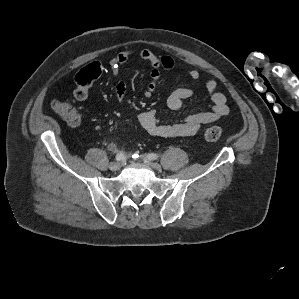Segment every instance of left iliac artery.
<instances>
[{
	"mask_svg": "<svg viewBox=\"0 0 299 299\" xmlns=\"http://www.w3.org/2000/svg\"><path fill=\"white\" fill-rule=\"evenodd\" d=\"M159 157L158 154H155V153H151V154H148L147 155V158L150 159V160H155Z\"/></svg>",
	"mask_w": 299,
	"mask_h": 299,
	"instance_id": "1",
	"label": "left iliac artery"
}]
</instances>
